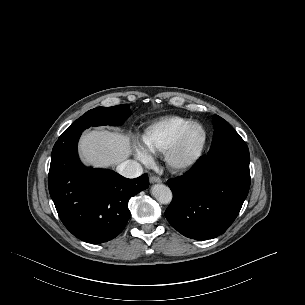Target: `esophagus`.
Instances as JSON below:
<instances>
[{
    "label": "esophagus",
    "instance_id": "34e87169",
    "mask_svg": "<svg viewBox=\"0 0 305 305\" xmlns=\"http://www.w3.org/2000/svg\"><path fill=\"white\" fill-rule=\"evenodd\" d=\"M149 180H150V183H161L162 182V180L155 175H151Z\"/></svg>",
    "mask_w": 305,
    "mask_h": 305
}]
</instances>
